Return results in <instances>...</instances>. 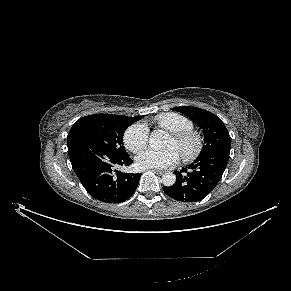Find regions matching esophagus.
I'll return each mask as SVG.
<instances>
[{"label":"esophagus","mask_w":291,"mask_h":291,"mask_svg":"<svg viewBox=\"0 0 291 291\" xmlns=\"http://www.w3.org/2000/svg\"><path fill=\"white\" fill-rule=\"evenodd\" d=\"M152 171L158 173V174H163L164 171L163 170H158V169H152Z\"/></svg>","instance_id":"34e87169"}]
</instances>
